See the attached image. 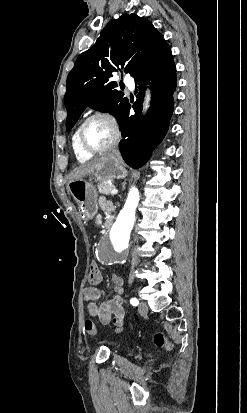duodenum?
I'll return each mask as SVG.
<instances>
[{"label": "duodenum", "instance_id": "duodenum-1", "mask_svg": "<svg viewBox=\"0 0 247 413\" xmlns=\"http://www.w3.org/2000/svg\"><path fill=\"white\" fill-rule=\"evenodd\" d=\"M111 224H112V221H111V220L106 221V223H105V228H110V227H111Z\"/></svg>", "mask_w": 247, "mask_h": 413}]
</instances>
